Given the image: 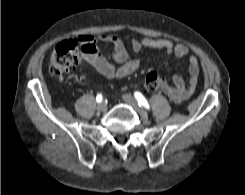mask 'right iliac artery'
Returning <instances> with one entry per match:
<instances>
[{
    "mask_svg": "<svg viewBox=\"0 0 245 195\" xmlns=\"http://www.w3.org/2000/svg\"><path fill=\"white\" fill-rule=\"evenodd\" d=\"M102 95L101 94H98L97 96H96V101L98 102V103H100L101 101H102Z\"/></svg>",
    "mask_w": 245,
    "mask_h": 195,
    "instance_id": "obj_1",
    "label": "right iliac artery"
}]
</instances>
